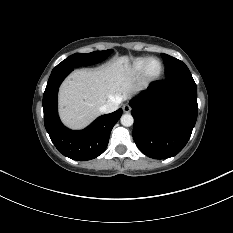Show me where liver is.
<instances>
[{
  "instance_id": "6515ba94",
  "label": "liver",
  "mask_w": 233,
  "mask_h": 233,
  "mask_svg": "<svg viewBox=\"0 0 233 233\" xmlns=\"http://www.w3.org/2000/svg\"><path fill=\"white\" fill-rule=\"evenodd\" d=\"M138 89L127 56L95 69L75 70L60 87L61 120L71 129H82L99 116L102 105L121 102Z\"/></svg>"
}]
</instances>
